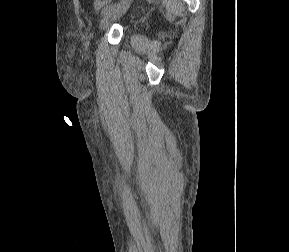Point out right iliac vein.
Segmentation results:
<instances>
[{"label": "right iliac vein", "mask_w": 289, "mask_h": 252, "mask_svg": "<svg viewBox=\"0 0 289 252\" xmlns=\"http://www.w3.org/2000/svg\"><path fill=\"white\" fill-rule=\"evenodd\" d=\"M133 0H122L107 14L103 15L99 28L105 30L113 21L121 17L130 7Z\"/></svg>", "instance_id": "63e3f726"}]
</instances>
